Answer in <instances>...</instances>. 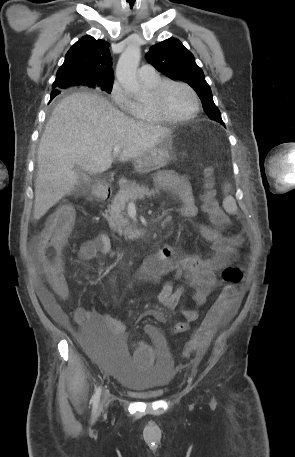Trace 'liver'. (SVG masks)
Instances as JSON below:
<instances>
[{
  "label": "liver",
  "mask_w": 295,
  "mask_h": 457,
  "mask_svg": "<svg viewBox=\"0 0 295 457\" xmlns=\"http://www.w3.org/2000/svg\"><path fill=\"white\" fill-rule=\"evenodd\" d=\"M172 131L138 122L116 109L106 98L93 93H74L55 107L38 149L33 215L39 220L78 184L74 166L89 174L108 170L112 149L121 147V162L149 152Z\"/></svg>",
  "instance_id": "1"
}]
</instances>
